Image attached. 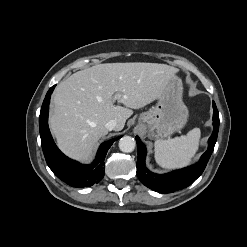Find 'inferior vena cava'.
Here are the masks:
<instances>
[{
    "mask_svg": "<svg viewBox=\"0 0 247 247\" xmlns=\"http://www.w3.org/2000/svg\"><path fill=\"white\" fill-rule=\"evenodd\" d=\"M118 126V123L116 120H109L106 124L105 127L107 130L112 131V130H116Z\"/></svg>",
    "mask_w": 247,
    "mask_h": 247,
    "instance_id": "obj_1",
    "label": "inferior vena cava"
}]
</instances>
